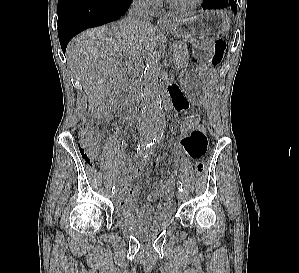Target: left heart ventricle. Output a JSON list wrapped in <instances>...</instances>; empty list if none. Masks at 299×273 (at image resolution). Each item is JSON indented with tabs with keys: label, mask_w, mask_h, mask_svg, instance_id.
I'll return each instance as SVG.
<instances>
[{
	"label": "left heart ventricle",
	"mask_w": 299,
	"mask_h": 273,
	"mask_svg": "<svg viewBox=\"0 0 299 273\" xmlns=\"http://www.w3.org/2000/svg\"><path fill=\"white\" fill-rule=\"evenodd\" d=\"M173 3L179 5V6H186L189 5L193 0H170Z\"/></svg>",
	"instance_id": "1"
}]
</instances>
